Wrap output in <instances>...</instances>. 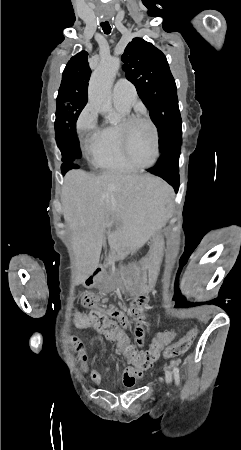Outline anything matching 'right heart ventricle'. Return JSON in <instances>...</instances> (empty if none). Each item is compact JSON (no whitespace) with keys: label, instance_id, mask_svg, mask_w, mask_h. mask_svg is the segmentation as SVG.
Here are the masks:
<instances>
[{"label":"right heart ventricle","instance_id":"right-heart-ventricle-1","mask_svg":"<svg viewBox=\"0 0 241 450\" xmlns=\"http://www.w3.org/2000/svg\"><path fill=\"white\" fill-rule=\"evenodd\" d=\"M117 111L123 118L128 116L130 107L124 103L115 102ZM84 116H93L92 114H86ZM123 118L115 124L98 126L94 130V140H89V133L91 130H85L82 127V145L85 150L86 143L92 142L94 153L87 155L94 166L98 168H120L127 169L133 165H129L122 153V149H119L117 137L120 136L119 131L121 129Z\"/></svg>","mask_w":241,"mask_h":450}]
</instances>
